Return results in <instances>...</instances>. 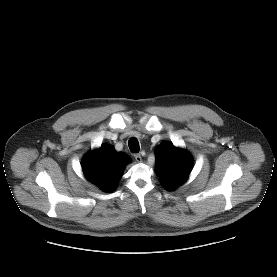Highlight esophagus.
<instances>
[{
    "instance_id": "obj_1",
    "label": "esophagus",
    "mask_w": 277,
    "mask_h": 277,
    "mask_svg": "<svg viewBox=\"0 0 277 277\" xmlns=\"http://www.w3.org/2000/svg\"><path fill=\"white\" fill-rule=\"evenodd\" d=\"M134 158H135V160L137 161V162H141L142 161V157H141V155L140 154H134Z\"/></svg>"
}]
</instances>
